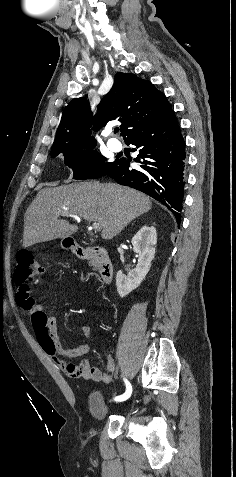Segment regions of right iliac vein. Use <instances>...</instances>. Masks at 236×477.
<instances>
[{
	"label": "right iliac vein",
	"mask_w": 236,
	"mask_h": 477,
	"mask_svg": "<svg viewBox=\"0 0 236 477\" xmlns=\"http://www.w3.org/2000/svg\"><path fill=\"white\" fill-rule=\"evenodd\" d=\"M121 388H122L121 386H120L119 388H117L116 391L113 392V395H114V396H118V395L122 392V389H121ZM112 400H114V399H110L109 401L111 402ZM111 403H112V402H111ZM112 404H113V405L110 404L109 406H110V407L113 406V408H115V409L118 408V406H119L118 404H114V403H112Z\"/></svg>",
	"instance_id": "obj_1"
}]
</instances>
